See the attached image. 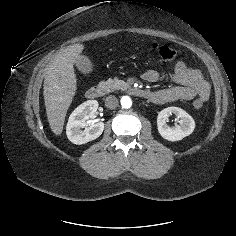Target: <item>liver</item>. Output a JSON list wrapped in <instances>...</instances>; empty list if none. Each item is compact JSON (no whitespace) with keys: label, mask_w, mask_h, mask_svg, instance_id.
Segmentation results:
<instances>
[{"label":"liver","mask_w":236,"mask_h":236,"mask_svg":"<svg viewBox=\"0 0 236 236\" xmlns=\"http://www.w3.org/2000/svg\"><path fill=\"white\" fill-rule=\"evenodd\" d=\"M83 50V44L61 49L45 69L43 95L48 122L55 135L63 131L67 110L77 90L74 63Z\"/></svg>","instance_id":"liver-1"}]
</instances>
